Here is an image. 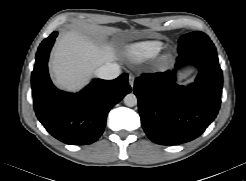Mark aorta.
<instances>
[{"label":"aorta","instance_id":"1","mask_svg":"<svg viewBox=\"0 0 246 181\" xmlns=\"http://www.w3.org/2000/svg\"><path fill=\"white\" fill-rule=\"evenodd\" d=\"M137 97L133 93H129L124 97V104L128 107H134L137 105Z\"/></svg>","mask_w":246,"mask_h":181}]
</instances>
